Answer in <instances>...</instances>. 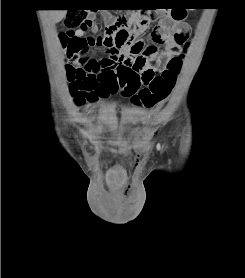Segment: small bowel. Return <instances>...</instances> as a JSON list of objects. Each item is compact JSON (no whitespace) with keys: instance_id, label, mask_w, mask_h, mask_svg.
Masks as SVG:
<instances>
[{"instance_id":"c3829d8e","label":"small bowel","mask_w":245,"mask_h":278,"mask_svg":"<svg viewBox=\"0 0 245 278\" xmlns=\"http://www.w3.org/2000/svg\"><path fill=\"white\" fill-rule=\"evenodd\" d=\"M157 13L158 18L160 19L161 29L156 32L155 39L158 44L163 45L168 49L162 57L155 58L152 55H141L138 52H130L126 47H116L111 39H108L105 44H99L97 43V38H91L92 47L100 48L105 53L104 58H89L86 62L90 65L86 71L92 77L95 84V101L100 98H109L113 96V94L108 92V88L117 82L120 77L126 76L129 72L142 74L146 69H152L158 72L163 71L167 66L168 59L174 55V52L171 51L168 46L169 33L176 29L186 37L190 34L191 26L184 20L175 21L172 18L171 13L163 9L158 10ZM102 18L107 25H111L115 21V17L109 11H103ZM146 28L147 25H137L136 33L141 34ZM92 31L96 32L97 27L93 26ZM73 35L85 38V31L79 29L75 31ZM147 47L150 46H146V48ZM85 56L76 60L73 64L81 66V61L86 59ZM149 116L150 114L148 113H142L139 115V120L146 122L149 119ZM97 122L99 125L104 126L110 123V119L100 118Z\"/></svg>"}]
</instances>
